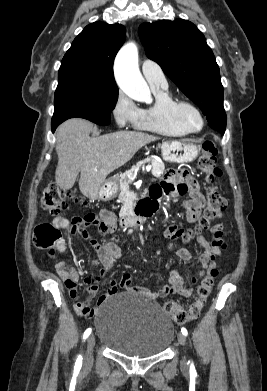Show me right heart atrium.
I'll return each instance as SVG.
<instances>
[{"label": "right heart atrium", "instance_id": "obj_1", "mask_svg": "<svg viewBox=\"0 0 267 391\" xmlns=\"http://www.w3.org/2000/svg\"><path fill=\"white\" fill-rule=\"evenodd\" d=\"M140 109L123 92H119L112 107V116L116 124L123 128L128 125H135L138 121Z\"/></svg>", "mask_w": 267, "mask_h": 391}]
</instances>
